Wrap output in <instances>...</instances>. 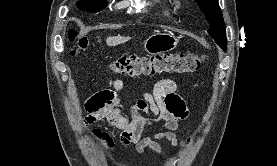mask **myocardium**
I'll list each match as a JSON object with an SVG mask.
<instances>
[{"label":"myocardium","mask_w":277,"mask_h":166,"mask_svg":"<svg viewBox=\"0 0 277 166\" xmlns=\"http://www.w3.org/2000/svg\"><path fill=\"white\" fill-rule=\"evenodd\" d=\"M177 5L179 6V5H180V2H177Z\"/></svg>","instance_id":"obj_1"}]
</instances>
